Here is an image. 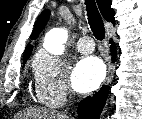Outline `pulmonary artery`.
<instances>
[{"label": "pulmonary artery", "mask_w": 142, "mask_h": 119, "mask_svg": "<svg viewBox=\"0 0 142 119\" xmlns=\"http://www.w3.org/2000/svg\"><path fill=\"white\" fill-rule=\"evenodd\" d=\"M77 50L82 54H89L94 51L95 44L90 37H83L77 42Z\"/></svg>", "instance_id": "obj_1"}]
</instances>
